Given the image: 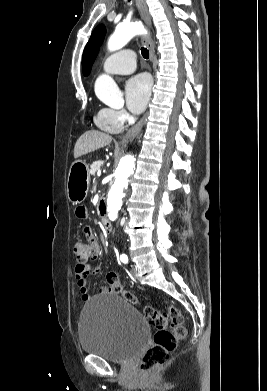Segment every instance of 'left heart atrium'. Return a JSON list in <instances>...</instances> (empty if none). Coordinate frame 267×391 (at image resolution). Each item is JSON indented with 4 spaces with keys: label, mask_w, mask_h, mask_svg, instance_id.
<instances>
[{
    "label": "left heart atrium",
    "mask_w": 267,
    "mask_h": 391,
    "mask_svg": "<svg viewBox=\"0 0 267 391\" xmlns=\"http://www.w3.org/2000/svg\"><path fill=\"white\" fill-rule=\"evenodd\" d=\"M151 81L145 74H139L130 78L125 85L126 104L134 113H141L150 98Z\"/></svg>",
    "instance_id": "obj_1"
}]
</instances>
